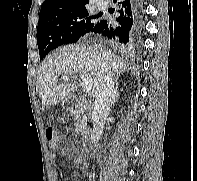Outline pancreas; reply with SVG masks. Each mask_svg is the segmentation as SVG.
Listing matches in <instances>:
<instances>
[{
	"label": "pancreas",
	"instance_id": "pancreas-1",
	"mask_svg": "<svg viewBox=\"0 0 197 181\" xmlns=\"http://www.w3.org/2000/svg\"><path fill=\"white\" fill-rule=\"evenodd\" d=\"M75 131L77 134H81L82 136H86L89 133V128L87 126V117L86 115L78 114L75 119Z\"/></svg>",
	"mask_w": 197,
	"mask_h": 181
}]
</instances>
